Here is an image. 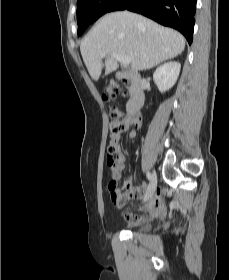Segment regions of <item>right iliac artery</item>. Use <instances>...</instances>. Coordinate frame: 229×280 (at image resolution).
<instances>
[{"instance_id":"obj_1","label":"right iliac artery","mask_w":229,"mask_h":280,"mask_svg":"<svg viewBox=\"0 0 229 280\" xmlns=\"http://www.w3.org/2000/svg\"><path fill=\"white\" fill-rule=\"evenodd\" d=\"M146 176H147V179H148V180H151L152 175H151L150 172H147Z\"/></svg>"}]
</instances>
